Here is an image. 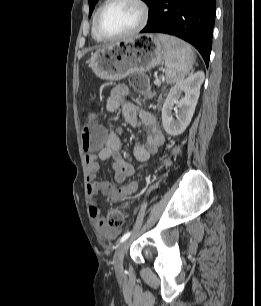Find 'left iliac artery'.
<instances>
[{"instance_id": "left-iliac-artery-1", "label": "left iliac artery", "mask_w": 261, "mask_h": 306, "mask_svg": "<svg viewBox=\"0 0 261 306\" xmlns=\"http://www.w3.org/2000/svg\"><path fill=\"white\" fill-rule=\"evenodd\" d=\"M131 235V232H127L125 233L121 238H120V243H123L124 241H126Z\"/></svg>"}]
</instances>
